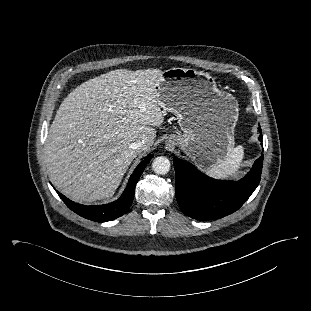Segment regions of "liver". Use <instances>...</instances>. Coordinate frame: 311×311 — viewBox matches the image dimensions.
I'll return each mask as SVG.
<instances>
[{"label": "liver", "instance_id": "1", "mask_svg": "<svg viewBox=\"0 0 311 311\" xmlns=\"http://www.w3.org/2000/svg\"><path fill=\"white\" fill-rule=\"evenodd\" d=\"M160 69H117L76 87L63 100L46 140L53 185L75 202L111 198L138 152L148 151L164 121ZM145 140L138 151L130 148Z\"/></svg>", "mask_w": 311, "mask_h": 311}]
</instances>
